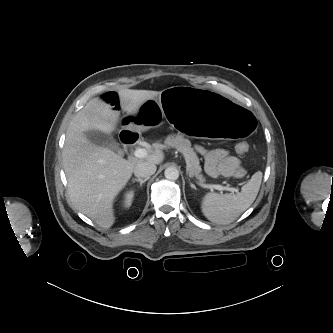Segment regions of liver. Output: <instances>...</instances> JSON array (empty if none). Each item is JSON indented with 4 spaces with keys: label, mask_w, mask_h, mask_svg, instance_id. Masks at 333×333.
Segmentation results:
<instances>
[{
    "label": "liver",
    "mask_w": 333,
    "mask_h": 333,
    "mask_svg": "<svg viewBox=\"0 0 333 333\" xmlns=\"http://www.w3.org/2000/svg\"><path fill=\"white\" fill-rule=\"evenodd\" d=\"M158 91L123 89L118 92L120 107L135 114ZM120 113L100 98L90 100L70 122L62 152L68 182V196L73 206L104 228L115 222L113 202L142 161L122 158L113 150L92 143L90 130L111 134L119 124ZM162 152L147 156L144 162L161 164Z\"/></svg>",
    "instance_id": "obj_1"
}]
</instances>
